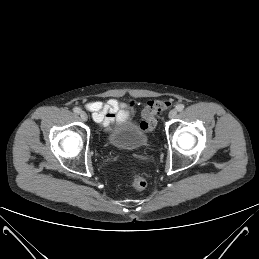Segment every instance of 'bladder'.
Returning <instances> with one entry per match:
<instances>
[{
  "label": "bladder",
  "mask_w": 259,
  "mask_h": 259,
  "mask_svg": "<svg viewBox=\"0 0 259 259\" xmlns=\"http://www.w3.org/2000/svg\"><path fill=\"white\" fill-rule=\"evenodd\" d=\"M107 140L111 145L127 150H136L148 143L146 133L130 118L113 126L107 135Z\"/></svg>",
  "instance_id": "bladder-1"
}]
</instances>
